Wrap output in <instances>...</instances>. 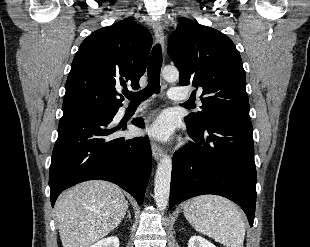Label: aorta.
Wrapping results in <instances>:
<instances>
[{
  "label": "aorta",
  "instance_id": "1",
  "mask_svg": "<svg viewBox=\"0 0 310 247\" xmlns=\"http://www.w3.org/2000/svg\"><path fill=\"white\" fill-rule=\"evenodd\" d=\"M162 76L166 81L174 82L179 78V72L175 67H164ZM171 172L172 160L170 156L163 155L154 179V199L160 211L166 210L169 203Z\"/></svg>",
  "mask_w": 310,
  "mask_h": 247
}]
</instances>
